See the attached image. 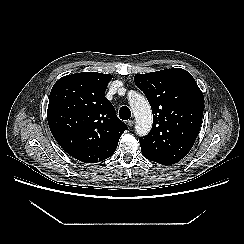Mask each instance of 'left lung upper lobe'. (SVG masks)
<instances>
[{"instance_id":"left-lung-upper-lobe-1","label":"left lung upper lobe","mask_w":244,"mask_h":244,"mask_svg":"<svg viewBox=\"0 0 244 244\" xmlns=\"http://www.w3.org/2000/svg\"><path fill=\"white\" fill-rule=\"evenodd\" d=\"M153 113L150 133L140 141L145 158L162 165L183 159L199 133L204 97L195 79L180 68L134 76Z\"/></svg>"}]
</instances>
